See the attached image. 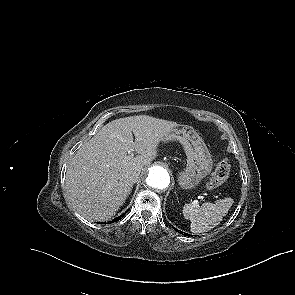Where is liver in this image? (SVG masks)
I'll return each instance as SVG.
<instances>
[{
    "label": "liver",
    "instance_id": "6515ba94",
    "mask_svg": "<svg viewBox=\"0 0 295 295\" xmlns=\"http://www.w3.org/2000/svg\"><path fill=\"white\" fill-rule=\"evenodd\" d=\"M177 126L147 115L120 118L103 126L78 149L67 168L65 189L73 208L88 220L114 216L135 183L131 175L139 176L156 158L164 135ZM133 150L137 156L128 155Z\"/></svg>",
    "mask_w": 295,
    "mask_h": 295
}]
</instances>
